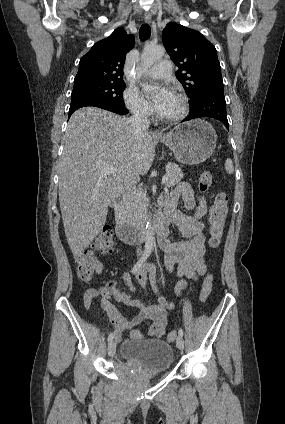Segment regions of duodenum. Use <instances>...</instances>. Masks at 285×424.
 Here are the masks:
<instances>
[{"instance_id":"1","label":"duodenum","mask_w":285,"mask_h":424,"mask_svg":"<svg viewBox=\"0 0 285 424\" xmlns=\"http://www.w3.org/2000/svg\"><path fill=\"white\" fill-rule=\"evenodd\" d=\"M115 210V231L116 235L124 243L136 244L145 241L151 235H157L160 238L166 237L168 232V219L163 214H156L147 227L134 226L124 219V206L122 201L115 199L113 202Z\"/></svg>"}]
</instances>
